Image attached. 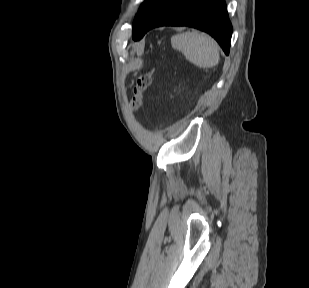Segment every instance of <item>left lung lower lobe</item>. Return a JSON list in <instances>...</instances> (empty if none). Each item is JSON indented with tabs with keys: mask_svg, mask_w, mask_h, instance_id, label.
I'll use <instances>...</instances> for the list:
<instances>
[{
	"mask_svg": "<svg viewBox=\"0 0 309 288\" xmlns=\"http://www.w3.org/2000/svg\"><path fill=\"white\" fill-rule=\"evenodd\" d=\"M190 26L209 33L229 54L232 25L224 0H160L133 39L158 26Z\"/></svg>",
	"mask_w": 309,
	"mask_h": 288,
	"instance_id": "obj_1",
	"label": "left lung lower lobe"
}]
</instances>
